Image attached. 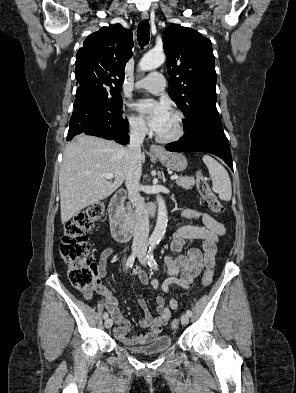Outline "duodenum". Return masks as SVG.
I'll list each match as a JSON object with an SVG mask.
<instances>
[{"label":"duodenum","mask_w":296,"mask_h":393,"mask_svg":"<svg viewBox=\"0 0 296 393\" xmlns=\"http://www.w3.org/2000/svg\"><path fill=\"white\" fill-rule=\"evenodd\" d=\"M125 199L126 191L124 189L116 191L111 198L108 209L111 232L118 242H126L134 234V227L128 222L124 214L123 203ZM155 211V206H149L150 214H154Z\"/></svg>","instance_id":"duodenum-1"}]
</instances>
